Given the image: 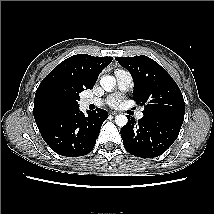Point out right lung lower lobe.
Segmentation results:
<instances>
[{
  "label": "right lung lower lobe",
  "mask_w": 214,
  "mask_h": 214,
  "mask_svg": "<svg viewBox=\"0 0 214 214\" xmlns=\"http://www.w3.org/2000/svg\"><path fill=\"white\" fill-rule=\"evenodd\" d=\"M86 116L79 107L62 111L38 128L44 141L57 154L66 157L84 156L95 146L107 111L98 108Z\"/></svg>",
  "instance_id": "1"
}]
</instances>
